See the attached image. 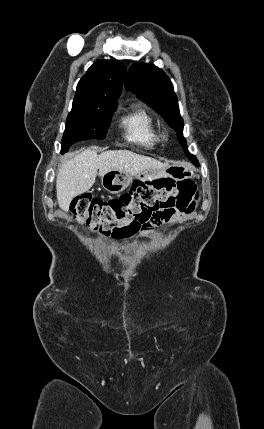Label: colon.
<instances>
[{
	"mask_svg": "<svg viewBox=\"0 0 264 429\" xmlns=\"http://www.w3.org/2000/svg\"><path fill=\"white\" fill-rule=\"evenodd\" d=\"M197 198V189L189 181H137L127 193L109 200L78 196L72 202L71 213L76 222L94 231L127 236L155 215L175 211L185 214L193 212Z\"/></svg>",
	"mask_w": 264,
	"mask_h": 429,
	"instance_id": "colon-1",
	"label": "colon"
}]
</instances>
